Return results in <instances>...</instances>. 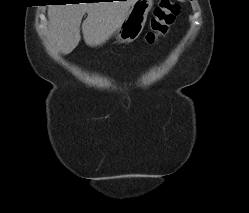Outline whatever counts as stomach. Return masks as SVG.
I'll return each instance as SVG.
<instances>
[{
  "mask_svg": "<svg viewBox=\"0 0 249 213\" xmlns=\"http://www.w3.org/2000/svg\"><path fill=\"white\" fill-rule=\"evenodd\" d=\"M152 6V0H135L121 25L115 30L118 42L129 43L139 37Z\"/></svg>",
  "mask_w": 249,
  "mask_h": 213,
  "instance_id": "0dacf381",
  "label": "stomach"
}]
</instances>
